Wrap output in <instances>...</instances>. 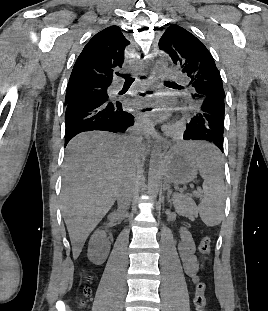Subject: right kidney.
I'll return each instance as SVG.
<instances>
[{
  "label": "right kidney",
  "mask_w": 268,
  "mask_h": 311,
  "mask_svg": "<svg viewBox=\"0 0 268 311\" xmlns=\"http://www.w3.org/2000/svg\"><path fill=\"white\" fill-rule=\"evenodd\" d=\"M110 251V242L106 238V233L97 230L90 238L88 246V257L96 265L105 262Z\"/></svg>",
  "instance_id": "right-kidney-1"
}]
</instances>
